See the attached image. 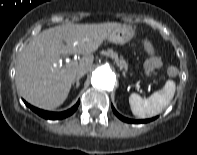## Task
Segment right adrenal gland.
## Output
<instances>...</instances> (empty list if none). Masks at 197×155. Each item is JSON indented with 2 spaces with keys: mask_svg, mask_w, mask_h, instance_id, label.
Listing matches in <instances>:
<instances>
[{
  "mask_svg": "<svg viewBox=\"0 0 197 155\" xmlns=\"http://www.w3.org/2000/svg\"><path fill=\"white\" fill-rule=\"evenodd\" d=\"M82 78V76H78L75 81L73 82V86L75 85V88L77 89L80 85L79 80Z\"/></svg>",
  "mask_w": 197,
  "mask_h": 155,
  "instance_id": "2a0ac1e0",
  "label": "right adrenal gland"
}]
</instances>
